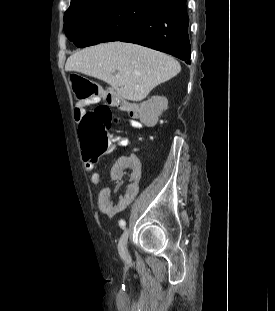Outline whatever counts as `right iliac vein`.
<instances>
[{
	"mask_svg": "<svg viewBox=\"0 0 275 311\" xmlns=\"http://www.w3.org/2000/svg\"><path fill=\"white\" fill-rule=\"evenodd\" d=\"M128 237H129V228H126L123 234L121 235L119 244H118L119 253L125 259L129 257V253L127 250Z\"/></svg>",
	"mask_w": 275,
	"mask_h": 311,
	"instance_id": "63e3f726",
	"label": "right iliac vein"
}]
</instances>
